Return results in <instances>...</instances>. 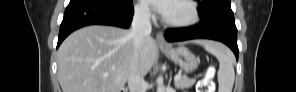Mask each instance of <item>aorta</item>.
<instances>
[{"label": "aorta", "mask_w": 296, "mask_h": 92, "mask_svg": "<svg viewBox=\"0 0 296 92\" xmlns=\"http://www.w3.org/2000/svg\"><path fill=\"white\" fill-rule=\"evenodd\" d=\"M157 92H164V83H163V77L159 76L157 79Z\"/></svg>", "instance_id": "obj_1"}]
</instances>
